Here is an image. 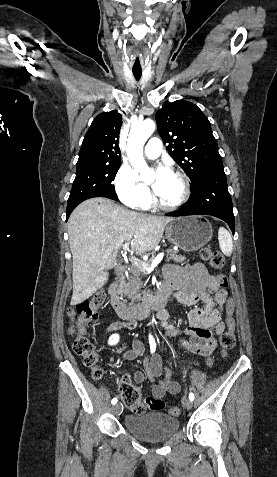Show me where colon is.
Returning a JSON list of instances; mask_svg holds the SVG:
<instances>
[{
    "label": "colon",
    "instance_id": "obj_1",
    "mask_svg": "<svg viewBox=\"0 0 277 477\" xmlns=\"http://www.w3.org/2000/svg\"><path fill=\"white\" fill-rule=\"evenodd\" d=\"M201 258L208 262L210 266L217 271L216 278L222 287L228 285L227 276L222 272L225 266L224 255L218 251L205 247L200 252ZM105 300L103 291L96 292L91 299L85 300L77 304L69 312L71 317V326L69 334L74 338L73 350L79 355L84 364L92 369L95 379H100L103 375V369L99 364L98 353L86 336V325L97 319L98 309ZM236 300L229 298L223 309L226 312L224 315V323L228 326L226 332L220 337V347L223 353L232 350L236 343L234 327L236 324L235 309ZM121 398L124 404L135 413H144L147 409L151 411H160L164 408L162 399L147 397L142 399L140 387L134 385L130 381H123L120 386ZM172 416H179L181 410L178 407H172L169 410Z\"/></svg>",
    "mask_w": 277,
    "mask_h": 477
}]
</instances>
